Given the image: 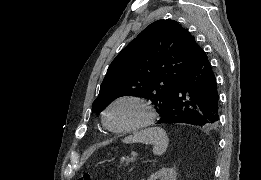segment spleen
Here are the masks:
<instances>
[{
    "label": "spleen",
    "instance_id": "obj_1",
    "mask_svg": "<svg viewBox=\"0 0 261 180\" xmlns=\"http://www.w3.org/2000/svg\"><path fill=\"white\" fill-rule=\"evenodd\" d=\"M124 144H153V154L162 156L168 148V136L163 128H145L140 132H135L134 136H127L123 140Z\"/></svg>",
    "mask_w": 261,
    "mask_h": 180
}]
</instances>
